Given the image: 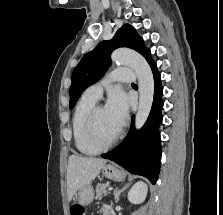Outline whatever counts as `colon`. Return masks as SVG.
<instances>
[{"instance_id": "colon-1", "label": "colon", "mask_w": 223, "mask_h": 215, "mask_svg": "<svg viewBox=\"0 0 223 215\" xmlns=\"http://www.w3.org/2000/svg\"><path fill=\"white\" fill-rule=\"evenodd\" d=\"M71 215H83V208L79 204H74L70 209Z\"/></svg>"}]
</instances>
